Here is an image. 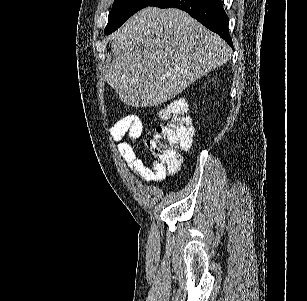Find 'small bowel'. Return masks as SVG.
<instances>
[{"label": "small bowel", "mask_w": 307, "mask_h": 301, "mask_svg": "<svg viewBox=\"0 0 307 301\" xmlns=\"http://www.w3.org/2000/svg\"><path fill=\"white\" fill-rule=\"evenodd\" d=\"M143 123L138 116H128L116 122L110 129L111 138L117 142V149L129 168L143 181L152 182L166 174L158 161L146 165L137 154L135 142L142 136Z\"/></svg>", "instance_id": "small-bowel-1"}]
</instances>
